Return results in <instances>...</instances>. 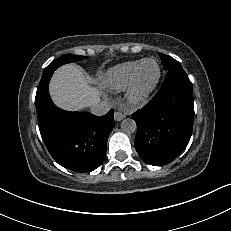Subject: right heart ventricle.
Returning <instances> with one entry per match:
<instances>
[{
    "instance_id": "right-heart-ventricle-1",
    "label": "right heart ventricle",
    "mask_w": 231,
    "mask_h": 231,
    "mask_svg": "<svg viewBox=\"0 0 231 231\" xmlns=\"http://www.w3.org/2000/svg\"><path fill=\"white\" fill-rule=\"evenodd\" d=\"M142 60L127 61L108 69L101 78L102 87L109 92H118L124 89L134 69Z\"/></svg>"
}]
</instances>
